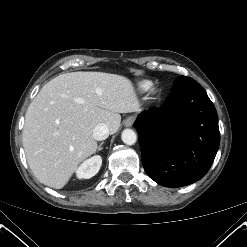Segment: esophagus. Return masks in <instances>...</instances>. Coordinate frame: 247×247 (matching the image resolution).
Returning a JSON list of instances; mask_svg holds the SVG:
<instances>
[{
    "label": "esophagus",
    "instance_id": "esophagus-1",
    "mask_svg": "<svg viewBox=\"0 0 247 247\" xmlns=\"http://www.w3.org/2000/svg\"><path fill=\"white\" fill-rule=\"evenodd\" d=\"M134 122V117H128L125 121H124V125L126 127H131L133 125Z\"/></svg>",
    "mask_w": 247,
    "mask_h": 247
}]
</instances>
